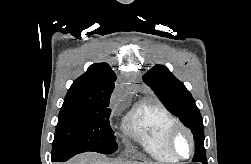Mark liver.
<instances>
[{"label": "liver", "instance_id": "obj_1", "mask_svg": "<svg viewBox=\"0 0 251 164\" xmlns=\"http://www.w3.org/2000/svg\"><path fill=\"white\" fill-rule=\"evenodd\" d=\"M65 164H147L138 162H121L115 159H109L104 155L88 152L75 156ZM155 164V163H148Z\"/></svg>", "mask_w": 251, "mask_h": 164}]
</instances>
